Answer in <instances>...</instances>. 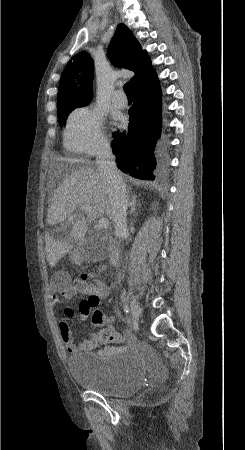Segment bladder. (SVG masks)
Masks as SVG:
<instances>
[{"mask_svg":"<svg viewBox=\"0 0 245 450\" xmlns=\"http://www.w3.org/2000/svg\"><path fill=\"white\" fill-rule=\"evenodd\" d=\"M67 364L76 384L104 397H129L144 385V369L134 355L81 354L68 357Z\"/></svg>","mask_w":245,"mask_h":450,"instance_id":"obj_1","label":"bladder"}]
</instances>
